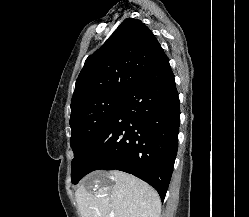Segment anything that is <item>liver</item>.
<instances>
[{
  "label": "liver",
  "instance_id": "liver-1",
  "mask_svg": "<svg viewBox=\"0 0 249 217\" xmlns=\"http://www.w3.org/2000/svg\"><path fill=\"white\" fill-rule=\"evenodd\" d=\"M100 178L114 185L98 187L96 191L81 185L75 192L81 217H160L158 193L142 180L122 171H98L88 176L93 184Z\"/></svg>",
  "mask_w": 249,
  "mask_h": 217
}]
</instances>
